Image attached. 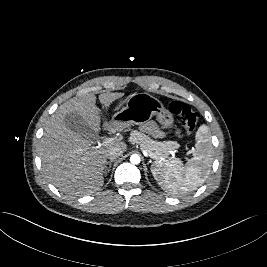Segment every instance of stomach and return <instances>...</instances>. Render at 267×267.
<instances>
[{"label":"stomach","mask_w":267,"mask_h":267,"mask_svg":"<svg viewBox=\"0 0 267 267\" xmlns=\"http://www.w3.org/2000/svg\"><path fill=\"white\" fill-rule=\"evenodd\" d=\"M153 116H156L157 121L164 128L173 125V115L163 104L156 97L140 92L131 94L127 98L126 106L113 115L111 122L122 124L126 128L130 125H142Z\"/></svg>","instance_id":"1"}]
</instances>
